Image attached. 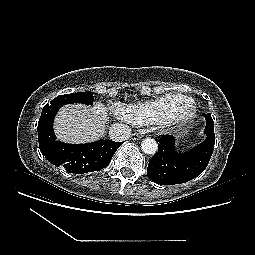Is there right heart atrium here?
Segmentation results:
<instances>
[{"instance_id": "right-heart-atrium-1", "label": "right heart atrium", "mask_w": 255, "mask_h": 255, "mask_svg": "<svg viewBox=\"0 0 255 255\" xmlns=\"http://www.w3.org/2000/svg\"><path fill=\"white\" fill-rule=\"evenodd\" d=\"M115 111L122 116L123 114V108L119 105L114 106Z\"/></svg>"}]
</instances>
